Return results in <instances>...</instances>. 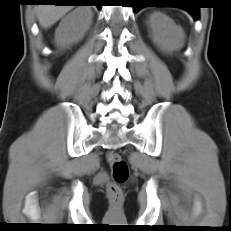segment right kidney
<instances>
[{
  "label": "right kidney",
  "instance_id": "right-kidney-1",
  "mask_svg": "<svg viewBox=\"0 0 231 231\" xmlns=\"http://www.w3.org/2000/svg\"><path fill=\"white\" fill-rule=\"evenodd\" d=\"M90 8L81 6L66 15L55 31V43L61 48L78 43L92 23Z\"/></svg>",
  "mask_w": 231,
  "mask_h": 231
}]
</instances>
